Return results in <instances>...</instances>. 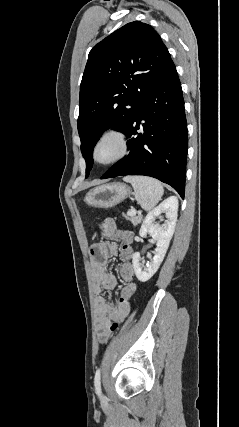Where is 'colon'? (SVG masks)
I'll list each match as a JSON object with an SVG mask.
<instances>
[{"instance_id": "obj_1", "label": "colon", "mask_w": 239, "mask_h": 427, "mask_svg": "<svg viewBox=\"0 0 239 427\" xmlns=\"http://www.w3.org/2000/svg\"><path fill=\"white\" fill-rule=\"evenodd\" d=\"M133 233L129 232L128 235H116L115 236V243L121 244V253L122 258L120 259V268L118 270L119 276L118 279L120 282H131L133 279V275L135 273L133 266V260H134V253L131 252L130 249L128 252V248L132 246V241L129 239V237H132ZM128 291L129 286L123 285L122 289L119 290V297L120 298H127L128 297ZM117 323L112 322L110 325L111 330H115L117 328Z\"/></svg>"}]
</instances>
